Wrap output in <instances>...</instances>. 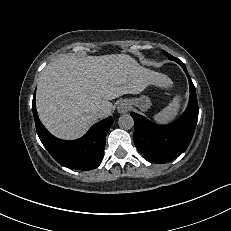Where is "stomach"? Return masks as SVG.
Segmentation results:
<instances>
[{
	"label": "stomach",
	"instance_id": "0dacf381",
	"mask_svg": "<svg viewBox=\"0 0 231 231\" xmlns=\"http://www.w3.org/2000/svg\"><path fill=\"white\" fill-rule=\"evenodd\" d=\"M127 101L132 107H136L143 112L147 111L152 105L150 98L145 94L128 99Z\"/></svg>",
	"mask_w": 231,
	"mask_h": 231
}]
</instances>
